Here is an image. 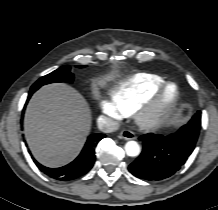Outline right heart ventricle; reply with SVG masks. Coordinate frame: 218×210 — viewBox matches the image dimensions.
<instances>
[{"mask_svg": "<svg viewBox=\"0 0 218 210\" xmlns=\"http://www.w3.org/2000/svg\"><path fill=\"white\" fill-rule=\"evenodd\" d=\"M165 82L152 73H138L121 81L113 91V100L125 115L131 114Z\"/></svg>", "mask_w": 218, "mask_h": 210, "instance_id": "e07e8e85", "label": "right heart ventricle"}]
</instances>
